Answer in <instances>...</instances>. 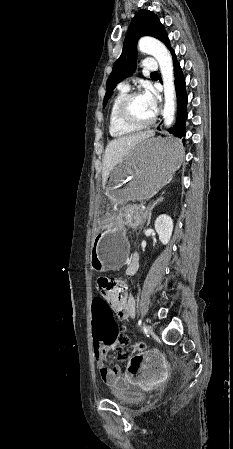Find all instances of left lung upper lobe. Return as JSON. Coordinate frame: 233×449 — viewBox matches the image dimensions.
<instances>
[{
    "label": "left lung upper lobe",
    "instance_id": "5c2ea615",
    "mask_svg": "<svg viewBox=\"0 0 233 449\" xmlns=\"http://www.w3.org/2000/svg\"><path fill=\"white\" fill-rule=\"evenodd\" d=\"M142 36L155 37L172 50L164 26L161 24L157 15L149 10H141L136 13L127 31L122 53L116 60L113 70L108 77L103 107L106 106L116 84L134 72L136 67L137 41Z\"/></svg>",
    "mask_w": 233,
    "mask_h": 449
}]
</instances>
